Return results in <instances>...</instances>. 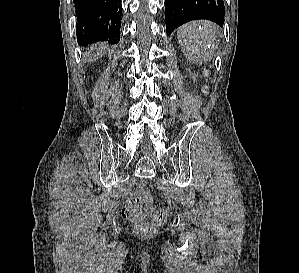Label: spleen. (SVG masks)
Instances as JSON below:
<instances>
[{
  "instance_id": "spleen-1",
  "label": "spleen",
  "mask_w": 299,
  "mask_h": 273,
  "mask_svg": "<svg viewBox=\"0 0 299 273\" xmlns=\"http://www.w3.org/2000/svg\"><path fill=\"white\" fill-rule=\"evenodd\" d=\"M218 26L209 21H193L177 30V38L186 59L196 65L208 63L216 54Z\"/></svg>"
}]
</instances>
